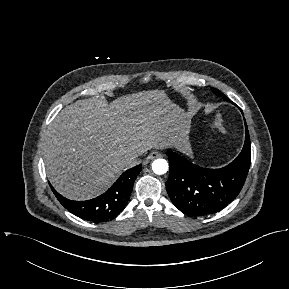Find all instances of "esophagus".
<instances>
[{"mask_svg": "<svg viewBox=\"0 0 289 289\" xmlns=\"http://www.w3.org/2000/svg\"><path fill=\"white\" fill-rule=\"evenodd\" d=\"M159 157H161V153L154 151L149 154L148 159L153 160Z\"/></svg>", "mask_w": 289, "mask_h": 289, "instance_id": "1", "label": "esophagus"}]
</instances>
